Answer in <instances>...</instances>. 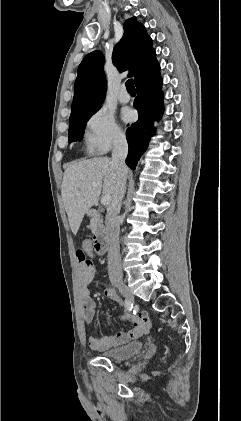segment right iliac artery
Instances as JSON below:
<instances>
[{"label": "right iliac artery", "mask_w": 241, "mask_h": 421, "mask_svg": "<svg viewBox=\"0 0 241 421\" xmlns=\"http://www.w3.org/2000/svg\"><path fill=\"white\" fill-rule=\"evenodd\" d=\"M125 307L127 311H131L133 308V304L130 303L128 300H125Z\"/></svg>", "instance_id": "1"}]
</instances>
